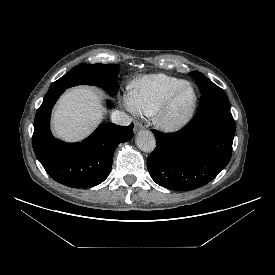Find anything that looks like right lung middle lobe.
Returning a JSON list of instances; mask_svg holds the SVG:
<instances>
[{
	"instance_id": "obj_1",
	"label": "right lung middle lobe",
	"mask_w": 275,
	"mask_h": 275,
	"mask_svg": "<svg viewBox=\"0 0 275 275\" xmlns=\"http://www.w3.org/2000/svg\"><path fill=\"white\" fill-rule=\"evenodd\" d=\"M118 71L119 65L117 64H81L54 82L49 91L88 84L102 87L110 95L114 96L116 93Z\"/></svg>"
}]
</instances>
